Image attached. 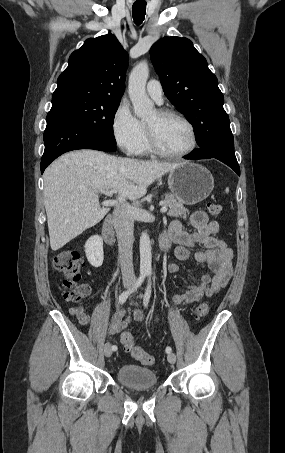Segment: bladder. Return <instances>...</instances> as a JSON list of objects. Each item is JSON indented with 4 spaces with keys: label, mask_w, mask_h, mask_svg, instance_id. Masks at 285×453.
Segmentation results:
<instances>
[{
    "label": "bladder",
    "mask_w": 285,
    "mask_h": 453,
    "mask_svg": "<svg viewBox=\"0 0 285 453\" xmlns=\"http://www.w3.org/2000/svg\"><path fill=\"white\" fill-rule=\"evenodd\" d=\"M116 379L130 388H151L158 383L153 370L133 364L121 365L116 371Z\"/></svg>",
    "instance_id": "bladder-1"
}]
</instances>
